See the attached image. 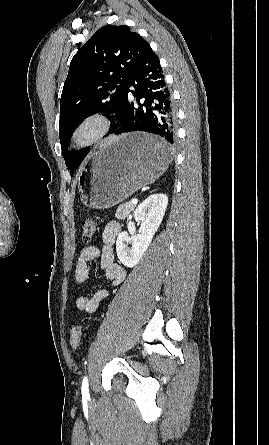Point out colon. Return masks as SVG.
Here are the masks:
<instances>
[{
    "label": "colon",
    "mask_w": 269,
    "mask_h": 445,
    "mask_svg": "<svg viewBox=\"0 0 269 445\" xmlns=\"http://www.w3.org/2000/svg\"><path fill=\"white\" fill-rule=\"evenodd\" d=\"M81 229H82V241L88 243L96 234L98 227L96 221L94 219L89 218L85 219L82 222ZM82 330H83L82 325L74 326L71 330L70 346L75 351H77L80 348Z\"/></svg>",
    "instance_id": "1"
}]
</instances>
